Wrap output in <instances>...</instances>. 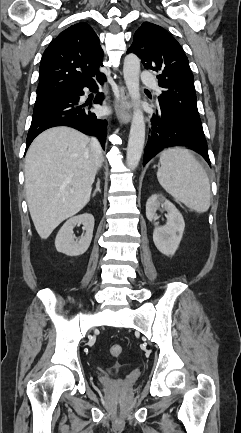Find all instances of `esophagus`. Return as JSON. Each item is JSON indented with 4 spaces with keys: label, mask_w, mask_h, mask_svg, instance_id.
<instances>
[{
    "label": "esophagus",
    "mask_w": 241,
    "mask_h": 433,
    "mask_svg": "<svg viewBox=\"0 0 241 433\" xmlns=\"http://www.w3.org/2000/svg\"><path fill=\"white\" fill-rule=\"evenodd\" d=\"M117 114L120 121L128 124L131 120V112L129 110V96L125 86H119V98L117 99Z\"/></svg>",
    "instance_id": "34e87169"
}]
</instances>
